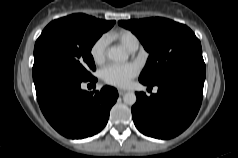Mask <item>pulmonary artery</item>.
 Instances as JSON below:
<instances>
[{
    "label": "pulmonary artery",
    "instance_id": "obj_1",
    "mask_svg": "<svg viewBox=\"0 0 238 158\" xmlns=\"http://www.w3.org/2000/svg\"><path fill=\"white\" fill-rule=\"evenodd\" d=\"M137 50V48H133L132 50H131V52H134V51H136Z\"/></svg>",
    "mask_w": 238,
    "mask_h": 158
}]
</instances>
